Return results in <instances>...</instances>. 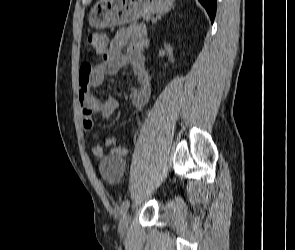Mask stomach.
Returning <instances> with one entry per match:
<instances>
[{"label": "stomach", "mask_w": 295, "mask_h": 250, "mask_svg": "<svg viewBox=\"0 0 295 250\" xmlns=\"http://www.w3.org/2000/svg\"><path fill=\"white\" fill-rule=\"evenodd\" d=\"M174 0H99L89 13V25L96 29L112 27L152 14H163Z\"/></svg>", "instance_id": "stomach-1"}]
</instances>
